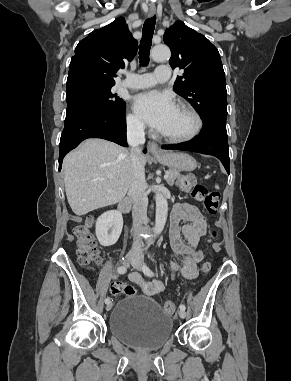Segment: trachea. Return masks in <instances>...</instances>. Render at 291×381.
<instances>
[{
  "instance_id": "trachea-1",
  "label": "trachea",
  "mask_w": 291,
  "mask_h": 381,
  "mask_svg": "<svg viewBox=\"0 0 291 381\" xmlns=\"http://www.w3.org/2000/svg\"><path fill=\"white\" fill-rule=\"evenodd\" d=\"M156 24V16L147 19L143 25L142 39L139 45V60L141 66H147L149 64V52L152 43V37L154 34Z\"/></svg>"
}]
</instances>
